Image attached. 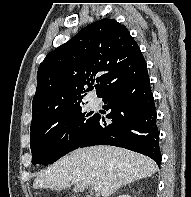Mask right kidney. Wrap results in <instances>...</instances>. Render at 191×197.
<instances>
[{"label": "right kidney", "instance_id": "ca27d5eb", "mask_svg": "<svg viewBox=\"0 0 191 197\" xmlns=\"http://www.w3.org/2000/svg\"><path fill=\"white\" fill-rule=\"evenodd\" d=\"M118 197H131V196L130 195L123 194V195H120Z\"/></svg>", "mask_w": 191, "mask_h": 197}]
</instances>
